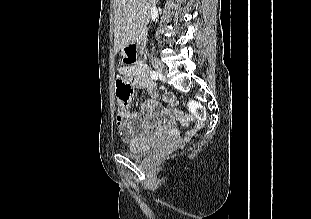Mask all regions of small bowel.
I'll return each mask as SVG.
<instances>
[{"label": "small bowel", "instance_id": "c3829d8e", "mask_svg": "<svg viewBox=\"0 0 311 219\" xmlns=\"http://www.w3.org/2000/svg\"><path fill=\"white\" fill-rule=\"evenodd\" d=\"M119 71L132 81L134 87L149 93V98L141 105L139 113L126 110L118 114L117 126L124 141H136L151 132L166 140H176L178 138L176 124L188 126L193 122L192 117L183 115L177 109V100L170 94L166 96V102L172 108H164L158 98L156 84L150 78L147 67L142 61L136 62L133 66L121 67Z\"/></svg>", "mask_w": 311, "mask_h": 219}]
</instances>
